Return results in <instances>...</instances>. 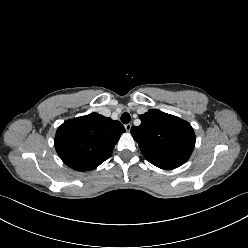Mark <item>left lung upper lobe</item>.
<instances>
[{
    "label": "left lung upper lobe",
    "mask_w": 248,
    "mask_h": 248,
    "mask_svg": "<svg viewBox=\"0 0 248 248\" xmlns=\"http://www.w3.org/2000/svg\"><path fill=\"white\" fill-rule=\"evenodd\" d=\"M139 118L141 124L132 126L131 135L150 163L161 169H174L189 159L196 137L187 121L157 109Z\"/></svg>",
    "instance_id": "left-lung-upper-lobe-1"
}]
</instances>
